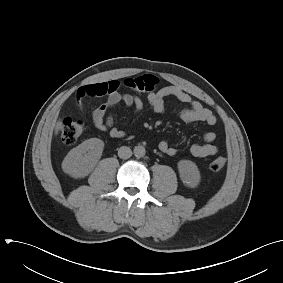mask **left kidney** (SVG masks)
Returning <instances> with one entry per match:
<instances>
[{"mask_svg": "<svg viewBox=\"0 0 283 283\" xmlns=\"http://www.w3.org/2000/svg\"><path fill=\"white\" fill-rule=\"evenodd\" d=\"M178 170L182 181L191 188H195L200 183V172L197 165L190 160L178 162Z\"/></svg>", "mask_w": 283, "mask_h": 283, "instance_id": "left-kidney-1", "label": "left kidney"}]
</instances>
